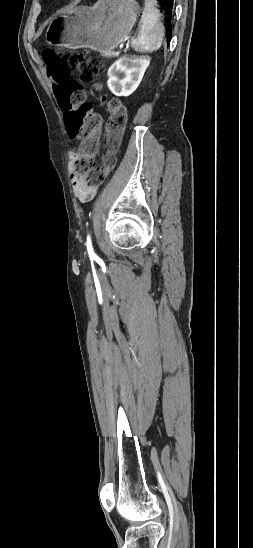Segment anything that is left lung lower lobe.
<instances>
[{
    "label": "left lung lower lobe",
    "instance_id": "1",
    "mask_svg": "<svg viewBox=\"0 0 253 548\" xmlns=\"http://www.w3.org/2000/svg\"><path fill=\"white\" fill-rule=\"evenodd\" d=\"M159 1L160 5L162 6L166 16H167V26L170 29L168 40H171V19L173 14V8H174V0H157Z\"/></svg>",
    "mask_w": 253,
    "mask_h": 548
}]
</instances>
